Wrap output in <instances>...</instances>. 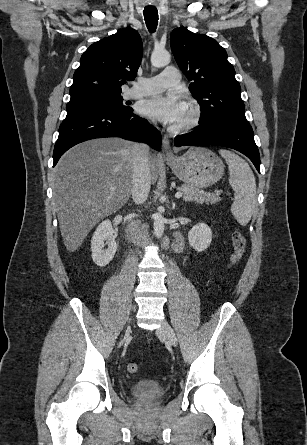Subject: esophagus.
Returning a JSON list of instances; mask_svg holds the SVG:
<instances>
[{
	"label": "esophagus",
	"mask_w": 307,
	"mask_h": 445,
	"mask_svg": "<svg viewBox=\"0 0 307 445\" xmlns=\"http://www.w3.org/2000/svg\"><path fill=\"white\" fill-rule=\"evenodd\" d=\"M162 155L165 158H173V159H175V156H174V154L172 152V149H171L170 140H169L168 135H164L163 136Z\"/></svg>",
	"instance_id": "1"
}]
</instances>
